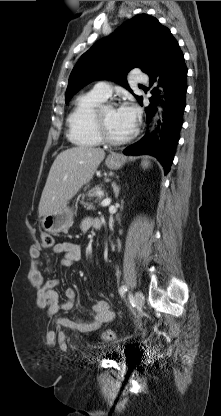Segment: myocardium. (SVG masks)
Here are the masks:
<instances>
[{
  "mask_svg": "<svg viewBox=\"0 0 221 416\" xmlns=\"http://www.w3.org/2000/svg\"><path fill=\"white\" fill-rule=\"evenodd\" d=\"M107 107L113 108L111 104L103 105V106L98 107L95 113V126H96V130H97L99 137L101 138L102 142L107 143L109 145L119 146V145L126 144L133 138V133H131L128 137L124 139L113 138L109 134L108 129L103 119V110Z\"/></svg>",
  "mask_w": 221,
  "mask_h": 416,
  "instance_id": "f54148a6",
  "label": "myocardium"
}]
</instances>
